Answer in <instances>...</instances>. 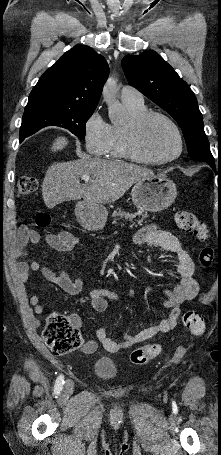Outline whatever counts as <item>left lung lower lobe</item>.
Instances as JSON below:
<instances>
[{"label":"left lung lower lobe","instance_id":"left-lung-lower-lobe-1","mask_svg":"<svg viewBox=\"0 0 221 455\" xmlns=\"http://www.w3.org/2000/svg\"><path fill=\"white\" fill-rule=\"evenodd\" d=\"M206 163L209 164L214 171H216L214 160L206 161Z\"/></svg>","mask_w":221,"mask_h":455}]
</instances>
